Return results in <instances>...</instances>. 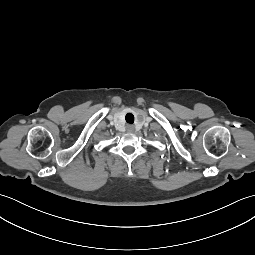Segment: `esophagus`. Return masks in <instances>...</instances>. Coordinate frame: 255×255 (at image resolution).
Returning a JSON list of instances; mask_svg holds the SVG:
<instances>
[{"label": "esophagus", "mask_w": 255, "mask_h": 255, "mask_svg": "<svg viewBox=\"0 0 255 255\" xmlns=\"http://www.w3.org/2000/svg\"><path fill=\"white\" fill-rule=\"evenodd\" d=\"M133 129H134L133 126H131V125L128 126V131H129V132H132Z\"/></svg>", "instance_id": "esophagus-1"}]
</instances>
